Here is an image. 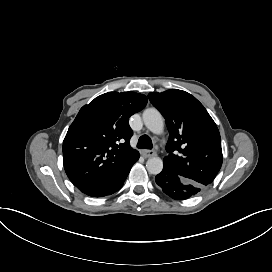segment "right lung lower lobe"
Instances as JSON below:
<instances>
[{"label":"right lung lower lobe","mask_w":272,"mask_h":272,"mask_svg":"<svg viewBox=\"0 0 272 272\" xmlns=\"http://www.w3.org/2000/svg\"><path fill=\"white\" fill-rule=\"evenodd\" d=\"M139 159L133 158L127 165L109 176L77 187L84 194L91 197H104L117 192L123 185L131 167Z\"/></svg>","instance_id":"right-lung-lower-lobe-1"}]
</instances>
